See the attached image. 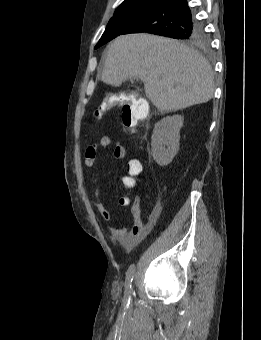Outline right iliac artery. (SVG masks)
I'll return each mask as SVG.
<instances>
[{"instance_id":"82829eb1","label":"right iliac artery","mask_w":261,"mask_h":340,"mask_svg":"<svg viewBox=\"0 0 261 340\" xmlns=\"http://www.w3.org/2000/svg\"><path fill=\"white\" fill-rule=\"evenodd\" d=\"M135 272V265L132 264L128 268L126 272V279H125V297H124V306L128 307L131 300V293H132V281L133 275Z\"/></svg>"}]
</instances>
